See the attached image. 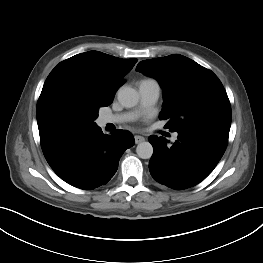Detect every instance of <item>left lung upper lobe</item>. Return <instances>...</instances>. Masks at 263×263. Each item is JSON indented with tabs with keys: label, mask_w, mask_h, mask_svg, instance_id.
Returning a JSON list of instances; mask_svg holds the SVG:
<instances>
[{
	"label": "left lung upper lobe",
	"mask_w": 263,
	"mask_h": 263,
	"mask_svg": "<svg viewBox=\"0 0 263 263\" xmlns=\"http://www.w3.org/2000/svg\"><path fill=\"white\" fill-rule=\"evenodd\" d=\"M136 70L161 85L164 102L159 119L168 120L165 128L199 130L212 125L230 130V102L212 71L179 54L141 61Z\"/></svg>",
	"instance_id": "1"
}]
</instances>
